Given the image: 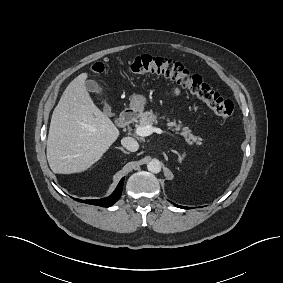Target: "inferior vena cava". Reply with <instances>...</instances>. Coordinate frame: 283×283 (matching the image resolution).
Wrapping results in <instances>:
<instances>
[{"label": "inferior vena cava", "instance_id": "602c4592", "mask_svg": "<svg viewBox=\"0 0 283 283\" xmlns=\"http://www.w3.org/2000/svg\"><path fill=\"white\" fill-rule=\"evenodd\" d=\"M121 144L123 145V147H125L127 150L131 152H135L139 149L138 142L132 137H124L121 140Z\"/></svg>", "mask_w": 283, "mask_h": 283}]
</instances>
